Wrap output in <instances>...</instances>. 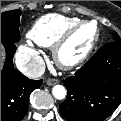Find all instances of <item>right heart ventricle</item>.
Listing matches in <instances>:
<instances>
[{
  "instance_id": "obj_1",
  "label": "right heart ventricle",
  "mask_w": 121,
  "mask_h": 121,
  "mask_svg": "<svg viewBox=\"0 0 121 121\" xmlns=\"http://www.w3.org/2000/svg\"><path fill=\"white\" fill-rule=\"evenodd\" d=\"M78 21L80 20L75 17L47 14L34 22L29 31V37L39 46L51 47L66 29Z\"/></svg>"
}]
</instances>
